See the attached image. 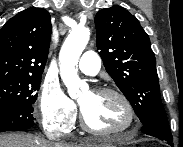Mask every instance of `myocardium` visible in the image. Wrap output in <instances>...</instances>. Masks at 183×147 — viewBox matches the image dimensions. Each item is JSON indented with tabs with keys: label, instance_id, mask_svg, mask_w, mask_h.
Wrapping results in <instances>:
<instances>
[{
	"label": "myocardium",
	"instance_id": "myocardium-1",
	"mask_svg": "<svg viewBox=\"0 0 183 147\" xmlns=\"http://www.w3.org/2000/svg\"><path fill=\"white\" fill-rule=\"evenodd\" d=\"M92 92L95 94H98V95H112V96L117 97L122 102V104L124 105V107L127 111L128 121H127V124L122 128L107 129V130L96 129V128H93L88 123V121L84 115V112L81 108L80 109V122H81L82 128L85 131H87L91 134H94V135L110 136V135H118V134H123V133L129 132L135 127L136 113H135V110H134V107H133L131 101L125 94H123L119 90H116L113 88H108V87L96 88Z\"/></svg>",
	"mask_w": 183,
	"mask_h": 147
}]
</instances>
